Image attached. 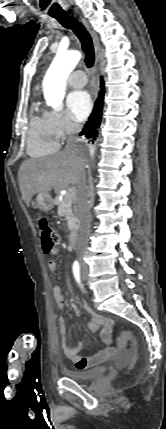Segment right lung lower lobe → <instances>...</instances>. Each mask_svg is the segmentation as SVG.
<instances>
[{
	"label": "right lung lower lobe",
	"instance_id": "obj_1",
	"mask_svg": "<svg viewBox=\"0 0 166 429\" xmlns=\"http://www.w3.org/2000/svg\"><path fill=\"white\" fill-rule=\"evenodd\" d=\"M103 97H104V83L102 80L101 90L96 100L94 110L80 133V135H83L89 140H95V137L97 136V133H98L97 129L99 128L100 122H101Z\"/></svg>",
	"mask_w": 166,
	"mask_h": 429
}]
</instances>
